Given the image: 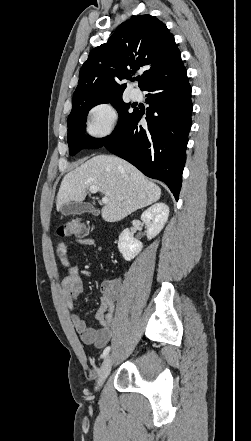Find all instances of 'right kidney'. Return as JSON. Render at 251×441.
<instances>
[{
  "label": "right kidney",
  "instance_id": "obj_1",
  "mask_svg": "<svg viewBox=\"0 0 251 441\" xmlns=\"http://www.w3.org/2000/svg\"><path fill=\"white\" fill-rule=\"evenodd\" d=\"M168 216L169 207L165 203H156L142 213L141 220L146 226L148 240L161 232ZM142 248V242L135 239L128 228L122 231L118 240V249L126 261L134 259Z\"/></svg>",
  "mask_w": 251,
  "mask_h": 441
}]
</instances>
